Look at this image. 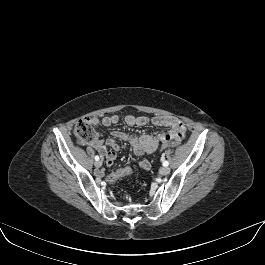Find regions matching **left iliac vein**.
<instances>
[{"instance_id": "1", "label": "left iliac vein", "mask_w": 265, "mask_h": 265, "mask_svg": "<svg viewBox=\"0 0 265 265\" xmlns=\"http://www.w3.org/2000/svg\"><path fill=\"white\" fill-rule=\"evenodd\" d=\"M169 172H170V168L167 166H164V167L160 168V170H159V174H161V175H167V174H169Z\"/></svg>"}]
</instances>
